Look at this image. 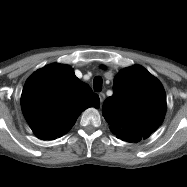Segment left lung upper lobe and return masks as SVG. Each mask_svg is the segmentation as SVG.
<instances>
[{
	"mask_svg": "<svg viewBox=\"0 0 187 187\" xmlns=\"http://www.w3.org/2000/svg\"><path fill=\"white\" fill-rule=\"evenodd\" d=\"M165 111L162 84L139 65L117 74L113 95L105 100L102 108L112 133L127 142L148 138L162 124Z\"/></svg>",
	"mask_w": 187,
	"mask_h": 187,
	"instance_id": "1",
	"label": "left lung upper lobe"
}]
</instances>
